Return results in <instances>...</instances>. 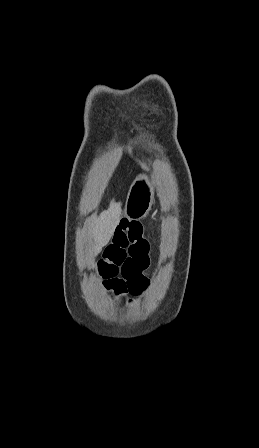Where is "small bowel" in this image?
I'll use <instances>...</instances> for the list:
<instances>
[{
	"label": "small bowel",
	"mask_w": 259,
	"mask_h": 448,
	"mask_svg": "<svg viewBox=\"0 0 259 448\" xmlns=\"http://www.w3.org/2000/svg\"><path fill=\"white\" fill-rule=\"evenodd\" d=\"M149 242L136 220L122 219L112 230L110 243L98 262L103 286L115 296H139L149 286L144 275L149 266Z\"/></svg>",
	"instance_id": "obj_1"
}]
</instances>
